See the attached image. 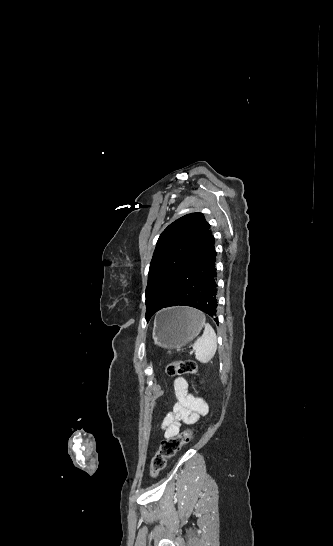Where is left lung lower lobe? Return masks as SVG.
<instances>
[{
    "instance_id": "1",
    "label": "left lung lower lobe",
    "mask_w": 333,
    "mask_h": 546,
    "mask_svg": "<svg viewBox=\"0 0 333 546\" xmlns=\"http://www.w3.org/2000/svg\"><path fill=\"white\" fill-rule=\"evenodd\" d=\"M215 239L209 230L196 258L173 283L169 297L162 308L190 306L207 313L217 324V269ZM203 262L201 272L194 274L197 265Z\"/></svg>"
}]
</instances>
